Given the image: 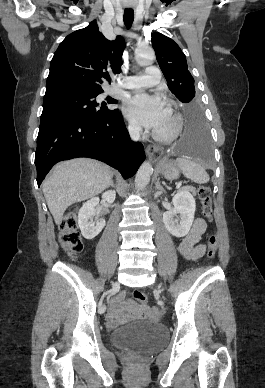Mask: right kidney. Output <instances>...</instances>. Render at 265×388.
<instances>
[{
    "label": "right kidney",
    "instance_id": "right-kidney-1",
    "mask_svg": "<svg viewBox=\"0 0 265 388\" xmlns=\"http://www.w3.org/2000/svg\"><path fill=\"white\" fill-rule=\"evenodd\" d=\"M102 198L103 200H106L108 204H113L116 198L115 190L104 192ZM99 202V198H91V200L85 202L79 210L78 224L85 240H93V238H96V236L102 232L104 226H106L105 220L100 218V208H96Z\"/></svg>",
    "mask_w": 265,
    "mask_h": 388
}]
</instances>
